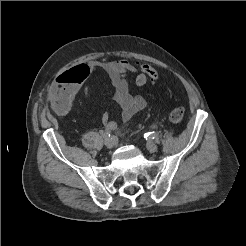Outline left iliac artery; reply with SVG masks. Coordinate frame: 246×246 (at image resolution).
<instances>
[{
  "instance_id": "1",
  "label": "left iliac artery",
  "mask_w": 246,
  "mask_h": 246,
  "mask_svg": "<svg viewBox=\"0 0 246 246\" xmlns=\"http://www.w3.org/2000/svg\"><path fill=\"white\" fill-rule=\"evenodd\" d=\"M144 137L146 140H151L157 137V133L156 132L145 133Z\"/></svg>"
}]
</instances>
